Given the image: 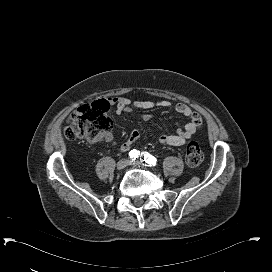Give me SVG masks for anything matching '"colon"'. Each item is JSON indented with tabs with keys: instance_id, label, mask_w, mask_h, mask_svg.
Wrapping results in <instances>:
<instances>
[{
	"instance_id": "obj_1",
	"label": "colon",
	"mask_w": 272,
	"mask_h": 272,
	"mask_svg": "<svg viewBox=\"0 0 272 272\" xmlns=\"http://www.w3.org/2000/svg\"><path fill=\"white\" fill-rule=\"evenodd\" d=\"M109 110L110 103L107 100H98L75 109L66 121L65 139H85L89 143L98 142L103 133L111 126ZM202 160L203 154L199 145L196 142L190 143L186 150L188 166L196 168Z\"/></svg>"
}]
</instances>
